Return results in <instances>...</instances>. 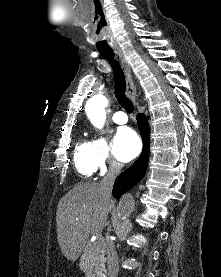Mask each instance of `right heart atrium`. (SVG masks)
I'll list each match as a JSON object with an SVG mask.
<instances>
[{
  "label": "right heart atrium",
  "mask_w": 221,
  "mask_h": 277,
  "mask_svg": "<svg viewBox=\"0 0 221 277\" xmlns=\"http://www.w3.org/2000/svg\"><path fill=\"white\" fill-rule=\"evenodd\" d=\"M91 146L96 170L105 173L119 167V164L112 157L110 143L104 136H95L91 141Z\"/></svg>",
  "instance_id": "right-heart-atrium-1"
}]
</instances>
